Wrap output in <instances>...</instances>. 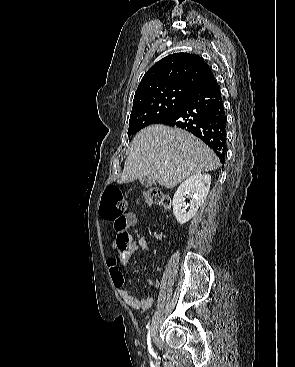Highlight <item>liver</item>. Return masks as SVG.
<instances>
[{
	"label": "liver",
	"mask_w": 295,
	"mask_h": 367,
	"mask_svg": "<svg viewBox=\"0 0 295 367\" xmlns=\"http://www.w3.org/2000/svg\"><path fill=\"white\" fill-rule=\"evenodd\" d=\"M219 166L216 154L201 140L184 130L156 124L134 137L118 182L149 178L171 189L190 175Z\"/></svg>",
	"instance_id": "1"
}]
</instances>
